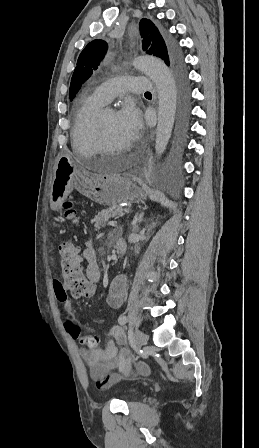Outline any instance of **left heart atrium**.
Wrapping results in <instances>:
<instances>
[{"label":"left heart atrium","instance_id":"left-heart-atrium-1","mask_svg":"<svg viewBox=\"0 0 259 448\" xmlns=\"http://www.w3.org/2000/svg\"><path fill=\"white\" fill-rule=\"evenodd\" d=\"M117 121L130 138H137L143 126L140 110L126 102L117 113Z\"/></svg>","mask_w":259,"mask_h":448}]
</instances>
